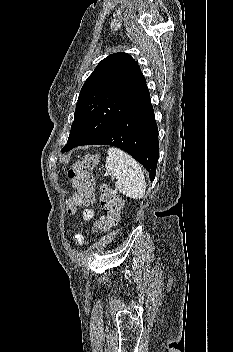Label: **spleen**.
Returning a JSON list of instances; mask_svg holds the SVG:
<instances>
[{
  "mask_svg": "<svg viewBox=\"0 0 233 352\" xmlns=\"http://www.w3.org/2000/svg\"><path fill=\"white\" fill-rule=\"evenodd\" d=\"M106 173L116 179V188L131 199H141L145 195L146 181L142 167L129 154L111 147L106 157Z\"/></svg>",
  "mask_w": 233,
  "mask_h": 352,
  "instance_id": "spleen-1",
  "label": "spleen"
}]
</instances>
